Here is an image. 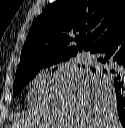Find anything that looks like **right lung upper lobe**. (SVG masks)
Returning a JSON list of instances; mask_svg holds the SVG:
<instances>
[{
	"label": "right lung upper lobe",
	"mask_w": 125,
	"mask_h": 128,
	"mask_svg": "<svg viewBox=\"0 0 125 128\" xmlns=\"http://www.w3.org/2000/svg\"><path fill=\"white\" fill-rule=\"evenodd\" d=\"M123 28L124 0H57L30 28L17 71L52 58L71 59L82 49L92 53Z\"/></svg>",
	"instance_id": "1"
}]
</instances>
